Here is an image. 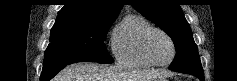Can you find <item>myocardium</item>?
I'll use <instances>...</instances> for the list:
<instances>
[{
	"mask_svg": "<svg viewBox=\"0 0 237 81\" xmlns=\"http://www.w3.org/2000/svg\"><path fill=\"white\" fill-rule=\"evenodd\" d=\"M154 33H160V34L164 35L171 43L172 56H171L170 60L165 62V63H158L157 61L154 60V58L151 54V51H150V38ZM142 48H143V53L146 56V58L150 61V63L152 65L157 66V67H167L168 65H170L173 62V60L175 59V56H176V45H175V42H174L173 38L166 31H164L160 28H156V27L150 28L145 33V35L143 37Z\"/></svg>",
	"mask_w": 237,
	"mask_h": 81,
	"instance_id": "obj_1",
	"label": "myocardium"
}]
</instances>
